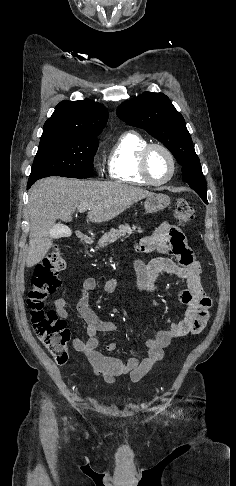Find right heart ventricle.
I'll return each instance as SVG.
<instances>
[{"label":"right heart ventricle","instance_id":"e07e8e85","mask_svg":"<svg viewBox=\"0 0 236 486\" xmlns=\"http://www.w3.org/2000/svg\"><path fill=\"white\" fill-rule=\"evenodd\" d=\"M147 144V139L135 131L121 134L108 155L111 178L130 185H146L139 172V155Z\"/></svg>","mask_w":236,"mask_h":486}]
</instances>
